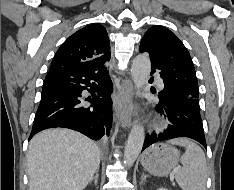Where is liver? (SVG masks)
I'll return each instance as SVG.
<instances>
[{
	"label": "liver",
	"instance_id": "6515ba94",
	"mask_svg": "<svg viewBox=\"0 0 234 190\" xmlns=\"http://www.w3.org/2000/svg\"><path fill=\"white\" fill-rule=\"evenodd\" d=\"M99 147L69 129H48L29 143V190H83L98 170Z\"/></svg>",
	"mask_w": 234,
	"mask_h": 190
}]
</instances>
